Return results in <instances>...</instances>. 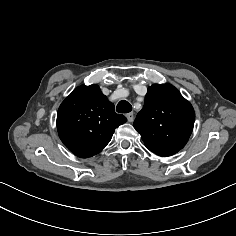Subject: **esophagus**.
I'll list each match as a JSON object with an SVG mask.
<instances>
[{
  "label": "esophagus",
  "mask_w": 236,
  "mask_h": 236,
  "mask_svg": "<svg viewBox=\"0 0 236 236\" xmlns=\"http://www.w3.org/2000/svg\"><path fill=\"white\" fill-rule=\"evenodd\" d=\"M126 117H127L128 122H133V120H134V113L133 112L127 113Z\"/></svg>",
  "instance_id": "obj_1"
}]
</instances>
